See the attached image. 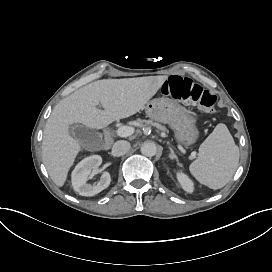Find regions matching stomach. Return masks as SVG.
<instances>
[{"label":"stomach","mask_w":272,"mask_h":272,"mask_svg":"<svg viewBox=\"0 0 272 272\" xmlns=\"http://www.w3.org/2000/svg\"><path fill=\"white\" fill-rule=\"evenodd\" d=\"M149 118L167 124L173 130L175 141L190 148L199 139L197 119L178 101L163 97L148 102L145 106Z\"/></svg>","instance_id":"stomach-1"}]
</instances>
